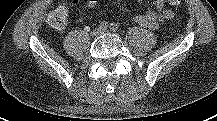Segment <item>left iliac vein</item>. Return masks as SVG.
I'll list each match as a JSON object with an SVG mask.
<instances>
[{
	"label": "left iliac vein",
	"instance_id": "1",
	"mask_svg": "<svg viewBox=\"0 0 217 121\" xmlns=\"http://www.w3.org/2000/svg\"><path fill=\"white\" fill-rule=\"evenodd\" d=\"M102 33H106V30H103Z\"/></svg>",
	"mask_w": 217,
	"mask_h": 121
}]
</instances>
